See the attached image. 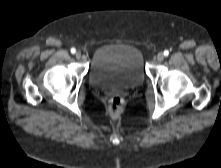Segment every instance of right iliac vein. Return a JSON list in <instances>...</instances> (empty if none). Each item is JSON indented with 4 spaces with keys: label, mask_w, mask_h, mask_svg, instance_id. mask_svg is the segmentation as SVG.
<instances>
[{
    "label": "right iliac vein",
    "mask_w": 221,
    "mask_h": 168,
    "mask_svg": "<svg viewBox=\"0 0 221 168\" xmlns=\"http://www.w3.org/2000/svg\"><path fill=\"white\" fill-rule=\"evenodd\" d=\"M75 57H76L77 59H80V58H81V52H80V51H77V52L75 53Z\"/></svg>",
    "instance_id": "obj_1"
}]
</instances>
